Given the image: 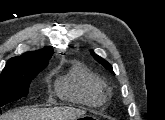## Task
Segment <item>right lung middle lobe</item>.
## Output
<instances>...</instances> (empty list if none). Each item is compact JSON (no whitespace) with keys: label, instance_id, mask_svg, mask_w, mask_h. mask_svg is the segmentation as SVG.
<instances>
[{"label":"right lung middle lobe","instance_id":"right-lung-middle-lobe-1","mask_svg":"<svg viewBox=\"0 0 165 120\" xmlns=\"http://www.w3.org/2000/svg\"><path fill=\"white\" fill-rule=\"evenodd\" d=\"M48 63L5 66L0 76V106L27 96L30 82Z\"/></svg>","mask_w":165,"mask_h":120}]
</instances>
